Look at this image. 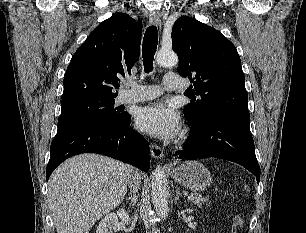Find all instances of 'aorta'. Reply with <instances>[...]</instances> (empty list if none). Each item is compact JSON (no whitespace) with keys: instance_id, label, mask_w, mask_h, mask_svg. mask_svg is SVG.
<instances>
[{"instance_id":"aorta-1","label":"aorta","mask_w":306,"mask_h":233,"mask_svg":"<svg viewBox=\"0 0 306 233\" xmlns=\"http://www.w3.org/2000/svg\"><path fill=\"white\" fill-rule=\"evenodd\" d=\"M156 62L163 67H172L178 64V56L172 50H160ZM151 196L157 214L165 218L168 212L167 178L160 165L152 175Z\"/></svg>"}]
</instances>
